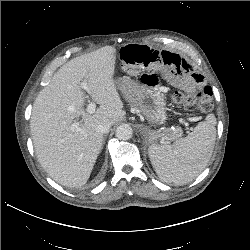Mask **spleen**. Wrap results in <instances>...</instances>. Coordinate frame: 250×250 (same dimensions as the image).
<instances>
[{"instance_id": "obj_1", "label": "spleen", "mask_w": 250, "mask_h": 250, "mask_svg": "<svg viewBox=\"0 0 250 250\" xmlns=\"http://www.w3.org/2000/svg\"><path fill=\"white\" fill-rule=\"evenodd\" d=\"M216 118L207 115L187 137L173 144L149 146L148 154L157 175L167 183L183 185L195 179L206 167L215 144Z\"/></svg>"}]
</instances>
